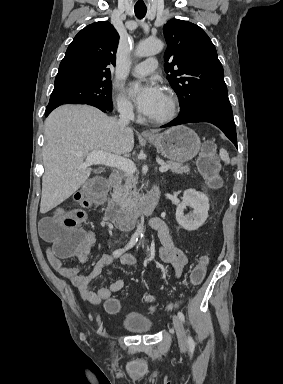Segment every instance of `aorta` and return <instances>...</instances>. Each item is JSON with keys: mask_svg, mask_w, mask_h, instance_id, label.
I'll use <instances>...</instances> for the list:
<instances>
[{"mask_svg": "<svg viewBox=\"0 0 283 384\" xmlns=\"http://www.w3.org/2000/svg\"><path fill=\"white\" fill-rule=\"evenodd\" d=\"M163 49V43L158 39H146L141 41L136 48V55L139 57H148L158 54ZM143 224L139 223L135 234L138 236L143 235Z\"/></svg>", "mask_w": 283, "mask_h": 384, "instance_id": "aorta-1", "label": "aorta"}]
</instances>
